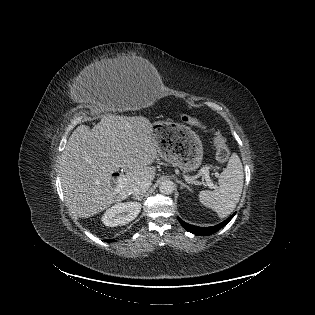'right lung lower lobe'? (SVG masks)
<instances>
[{
	"label": "right lung lower lobe",
	"instance_id": "obj_1",
	"mask_svg": "<svg viewBox=\"0 0 315 315\" xmlns=\"http://www.w3.org/2000/svg\"><path fill=\"white\" fill-rule=\"evenodd\" d=\"M107 242H113L114 240H112V239H108V240H106Z\"/></svg>",
	"mask_w": 315,
	"mask_h": 315
}]
</instances>
